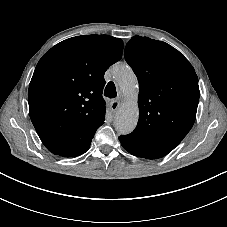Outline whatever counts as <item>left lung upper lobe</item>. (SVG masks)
Masks as SVG:
<instances>
[{
	"instance_id": "5c2ea615",
	"label": "left lung upper lobe",
	"mask_w": 227,
	"mask_h": 227,
	"mask_svg": "<svg viewBox=\"0 0 227 227\" xmlns=\"http://www.w3.org/2000/svg\"><path fill=\"white\" fill-rule=\"evenodd\" d=\"M125 60L139 82V121L122 136L166 155L194 124L199 101L195 70L178 50L148 37H132Z\"/></svg>"
}]
</instances>
